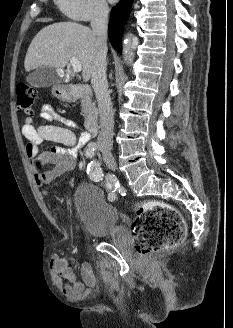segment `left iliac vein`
<instances>
[{
    "label": "left iliac vein",
    "mask_w": 233,
    "mask_h": 328,
    "mask_svg": "<svg viewBox=\"0 0 233 328\" xmlns=\"http://www.w3.org/2000/svg\"><path fill=\"white\" fill-rule=\"evenodd\" d=\"M103 159L104 162L106 164V166L111 169V170H115L116 169V161L114 159V157L112 156V154L109 151H104L103 152Z\"/></svg>",
    "instance_id": "4c4485c4"
}]
</instances>
